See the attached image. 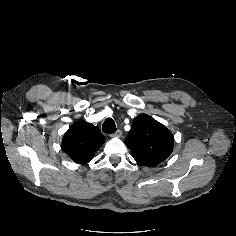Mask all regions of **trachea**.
I'll return each mask as SVG.
<instances>
[{
    "label": "trachea",
    "mask_w": 236,
    "mask_h": 236,
    "mask_svg": "<svg viewBox=\"0 0 236 236\" xmlns=\"http://www.w3.org/2000/svg\"><path fill=\"white\" fill-rule=\"evenodd\" d=\"M102 131L107 134H111L116 132V125L112 118H107L103 125H102Z\"/></svg>",
    "instance_id": "1"
}]
</instances>
